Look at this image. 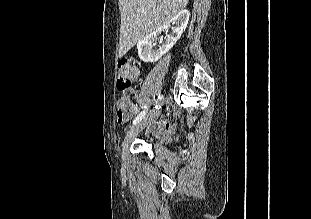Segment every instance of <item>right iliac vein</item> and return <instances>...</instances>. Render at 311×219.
I'll return each mask as SVG.
<instances>
[{"label": "right iliac vein", "instance_id": "right-iliac-vein-1", "mask_svg": "<svg viewBox=\"0 0 311 219\" xmlns=\"http://www.w3.org/2000/svg\"><path fill=\"white\" fill-rule=\"evenodd\" d=\"M162 104V100L156 102L157 108ZM157 115V111L155 109L151 110L140 122H138L135 126H133L126 134L123 141V150H122V158L126 160L127 152L129 144L132 140L150 123L153 121L155 116Z\"/></svg>", "mask_w": 311, "mask_h": 219}]
</instances>
